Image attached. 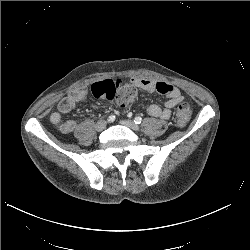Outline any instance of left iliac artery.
I'll list each match as a JSON object with an SVG mask.
<instances>
[{"instance_id": "obj_1", "label": "left iliac artery", "mask_w": 250, "mask_h": 250, "mask_svg": "<svg viewBox=\"0 0 250 250\" xmlns=\"http://www.w3.org/2000/svg\"><path fill=\"white\" fill-rule=\"evenodd\" d=\"M134 122L136 124H140L142 122V118L140 116H136L135 119H134Z\"/></svg>"}]
</instances>
